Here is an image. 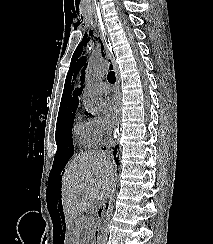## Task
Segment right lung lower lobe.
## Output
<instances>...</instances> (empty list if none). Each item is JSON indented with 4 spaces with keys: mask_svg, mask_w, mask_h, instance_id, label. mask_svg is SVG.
<instances>
[{
    "mask_svg": "<svg viewBox=\"0 0 213 244\" xmlns=\"http://www.w3.org/2000/svg\"><path fill=\"white\" fill-rule=\"evenodd\" d=\"M113 154H114V158L116 159V162H117L118 161V159L116 158V156H117V150L113 151Z\"/></svg>",
    "mask_w": 213,
    "mask_h": 244,
    "instance_id": "right-lung-lower-lobe-1",
    "label": "right lung lower lobe"
}]
</instances>
